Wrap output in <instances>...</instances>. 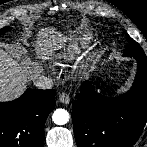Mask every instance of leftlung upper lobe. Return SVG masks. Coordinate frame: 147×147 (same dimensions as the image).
<instances>
[{
	"instance_id": "1",
	"label": "left lung upper lobe",
	"mask_w": 147,
	"mask_h": 147,
	"mask_svg": "<svg viewBox=\"0 0 147 147\" xmlns=\"http://www.w3.org/2000/svg\"><path fill=\"white\" fill-rule=\"evenodd\" d=\"M124 55L128 57H134L138 61L147 63V57L144 51L142 50L140 45L134 40H131V43L125 49Z\"/></svg>"
}]
</instances>
